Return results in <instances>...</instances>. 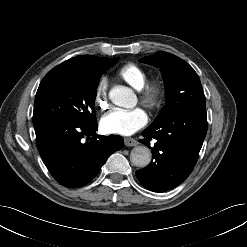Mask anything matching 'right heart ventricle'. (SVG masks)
Here are the masks:
<instances>
[{
	"label": "right heart ventricle",
	"instance_id": "1",
	"mask_svg": "<svg viewBox=\"0 0 247 247\" xmlns=\"http://www.w3.org/2000/svg\"><path fill=\"white\" fill-rule=\"evenodd\" d=\"M117 76L135 90H141L147 82L146 71L134 63L123 65L117 72Z\"/></svg>",
	"mask_w": 247,
	"mask_h": 247
}]
</instances>
